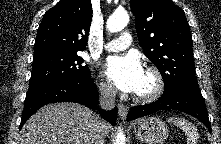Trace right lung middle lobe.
Returning a JSON list of instances; mask_svg holds the SVG:
<instances>
[{"label":"right lung middle lobe","instance_id":"right-lung-middle-lobe-1","mask_svg":"<svg viewBox=\"0 0 221 144\" xmlns=\"http://www.w3.org/2000/svg\"><path fill=\"white\" fill-rule=\"evenodd\" d=\"M77 52L44 51L34 53L28 93L59 81H87L90 70Z\"/></svg>","mask_w":221,"mask_h":144}]
</instances>
